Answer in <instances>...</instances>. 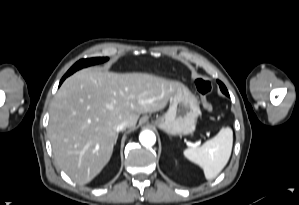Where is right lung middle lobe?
<instances>
[{
	"mask_svg": "<svg viewBox=\"0 0 299 205\" xmlns=\"http://www.w3.org/2000/svg\"><path fill=\"white\" fill-rule=\"evenodd\" d=\"M106 60H108V58H91V59H82L80 61H78L77 63H75L70 69L69 71L65 74V76H69L72 73H74L75 71L83 68V67H87L90 65H94V64H98V63H102L105 62Z\"/></svg>",
	"mask_w": 299,
	"mask_h": 205,
	"instance_id": "right-lung-middle-lobe-1",
	"label": "right lung middle lobe"
}]
</instances>
